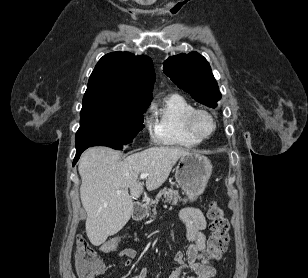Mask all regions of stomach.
<instances>
[{
  "label": "stomach",
  "instance_id": "obj_1",
  "mask_svg": "<svg viewBox=\"0 0 308 278\" xmlns=\"http://www.w3.org/2000/svg\"><path fill=\"white\" fill-rule=\"evenodd\" d=\"M211 173L210 160L198 153L182 156L175 168L176 181L191 201L204 192Z\"/></svg>",
  "mask_w": 308,
  "mask_h": 278
}]
</instances>
